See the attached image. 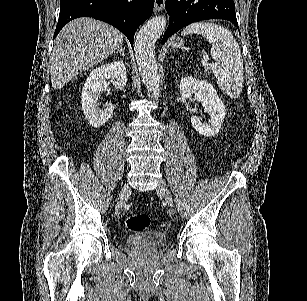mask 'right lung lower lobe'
<instances>
[{
  "label": "right lung lower lobe",
  "mask_w": 307,
  "mask_h": 301,
  "mask_svg": "<svg viewBox=\"0 0 307 301\" xmlns=\"http://www.w3.org/2000/svg\"><path fill=\"white\" fill-rule=\"evenodd\" d=\"M154 0H60L54 38L65 24L78 17L105 21L127 36L133 46L134 33L153 12Z\"/></svg>",
  "instance_id": "98d812e1"
}]
</instances>
